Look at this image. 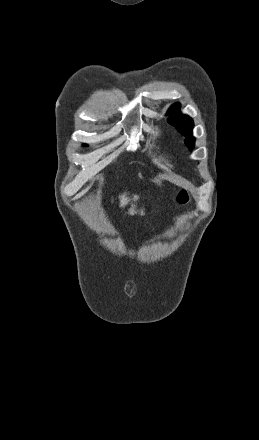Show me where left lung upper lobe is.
I'll list each match as a JSON object with an SVG mask.
<instances>
[{
    "label": "left lung upper lobe",
    "mask_w": 259,
    "mask_h": 440,
    "mask_svg": "<svg viewBox=\"0 0 259 440\" xmlns=\"http://www.w3.org/2000/svg\"><path fill=\"white\" fill-rule=\"evenodd\" d=\"M180 104L175 103L168 111V122L175 126L180 133L186 137V143L189 150H192L195 143V138L192 136V128L194 126L193 120L186 115H182L180 112Z\"/></svg>",
    "instance_id": "left-lung-upper-lobe-1"
}]
</instances>
